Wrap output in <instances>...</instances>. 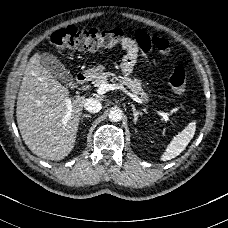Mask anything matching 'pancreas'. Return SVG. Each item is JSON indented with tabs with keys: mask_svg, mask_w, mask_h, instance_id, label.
<instances>
[{
	"mask_svg": "<svg viewBox=\"0 0 228 228\" xmlns=\"http://www.w3.org/2000/svg\"><path fill=\"white\" fill-rule=\"evenodd\" d=\"M109 77H112L110 79L111 82H114L115 80L119 81L123 85H126L134 94L142 96V98L145 101H148V95L144 92L142 88L141 80H138L136 78L131 79L129 77H115L114 73L111 72H105L97 76L95 79V85L99 86L102 83H108Z\"/></svg>",
	"mask_w": 228,
	"mask_h": 228,
	"instance_id": "pancreas-1",
	"label": "pancreas"
}]
</instances>
